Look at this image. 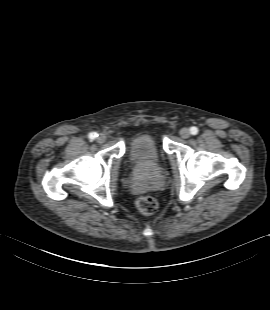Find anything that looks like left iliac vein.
Returning <instances> with one entry per match:
<instances>
[{
	"label": "left iliac vein",
	"mask_w": 270,
	"mask_h": 310,
	"mask_svg": "<svg viewBox=\"0 0 270 310\" xmlns=\"http://www.w3.org/2000/svg\"><path fill=\"white\" fill-rule=\"evenodd\" d=\"M191 135L190 133V130L188 128H182L180 130V136L183 138V139H187L189 138Z\"/></svg>",
	"instance_id": "1"
}]
</instances>
